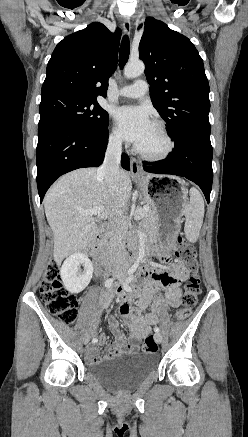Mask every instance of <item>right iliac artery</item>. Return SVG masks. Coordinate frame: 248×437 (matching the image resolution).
Listing matches in <instances>:
<instances>
[{
    "instance_id": "82829eb1",
    "label": "right iliac artery",
    "mask_w": 248,
    "mask_h": 437,
    "mask_svg": "<svg viewBox=\"0 0 248 437\" xmlns=\"http://www.w3.org/2000/svg\"><path fill=\"white\" fill-rule=\"evenodd\" d=\"M138 264L135 263L133 266L130 267V269L128 270V274L131 275L132 273L135 272V270L137 269ZM114 279L113 278H109L105 281V287L106 288H110L113 284ZM98 341L97 338H93L92 339V343H96Z\"/></svg>"
}]
</instances>
